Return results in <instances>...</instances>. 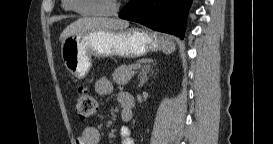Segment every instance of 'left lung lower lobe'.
Segmentation results:
<instances>
[{"label": "left lung lower lobe", "instance_id": "0a47b994", "mask_svg": "<svg viewBox=\"0 0 273 144\" xmlns=\"http://www.w3.org/2000/svg\"><path fill=\"white\" fill-rule=\"evenodd\" d=\"M190 4L191 0H130L119 16L182 39Z\"/></svg>", "mask_w": 273, "mask_h": 144}]
</instances>
